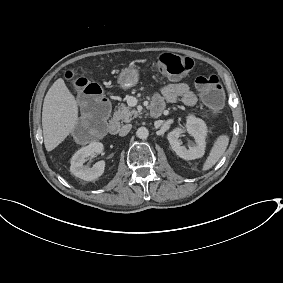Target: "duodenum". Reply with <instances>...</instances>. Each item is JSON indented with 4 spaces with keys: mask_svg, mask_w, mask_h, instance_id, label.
<instances>
[{
    "mask_svg": "<svg viewBox=\"0 0 283 283\" xmlns=\"http://www.w3.org/2000/svg\"><path fill=\"white\" fill-rule=\"evenodd\" d=\"M163 107L157 103H154L149 109V115L153 118H158L161 116ZM119 131V123L116 120L110 121L108 125V132L112 135Z\"/></svg>",
    "mask_w": 283,
    "mask_h": 283,
    "instance_id": "410a0bca",
    "label": "duodenum"
}]
</instances>
